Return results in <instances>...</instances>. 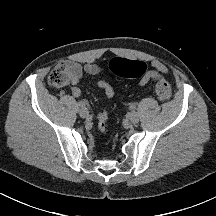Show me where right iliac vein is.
<instances>
[{
    "instance_id": "right-iliac-vein-1",
    "label": "right iliac vein",
    "mask_w": 216,
    "mask_h": 216,
    "mask_svg": "<svg viewBox=\"0 0 216 216\" xmlns=\"http://www.w3.org/2000/svg\"><path fill=\"white\" fill-rule=\"evenodd\" d=\"M79 115H80V117H82V118H87V117L89 116V111H88V109H87V108H81V109L79 110Z\"/></svg>"
}]
</instances>
